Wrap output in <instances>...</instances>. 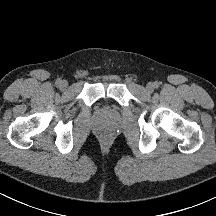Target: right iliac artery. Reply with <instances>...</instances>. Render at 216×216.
<instances>
[{
  "label": "right iliac artery",
  "instance_id": "1",
  "mask_svg": "<svg viewBox=\"0 0 216 216\" xmlns=\"http://www.w3.org/2000/svg\"><path fill=\"white\" fill-rule=\"evenodd\" d=\"M61 81H62L61 79H57L56 82H55L56 85H60Z\"/></svg>",
  "mask_w": 216,
  "mask_h": 216
}]
</instances>
